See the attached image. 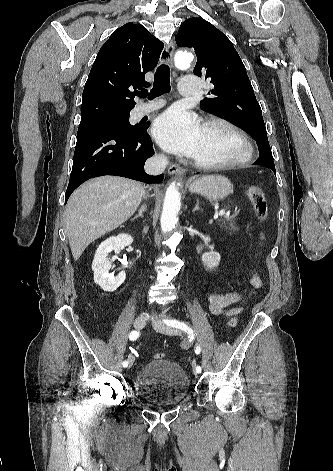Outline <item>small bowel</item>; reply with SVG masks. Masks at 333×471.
Instances as JSON below:
<instances>
[{
  "label": "small bowel",
  "mask_w": 333,
  "mask_h": 471,
  "mask_svg": "<svg viewBox=\"0 0 333 471\" xmlns=\"http://www.w3.org/2000/svg\"><path fill=\"white\" fill-rule=\"evenodd\" d=\"M250 284L254 288H260L263 282L259 275L254 274L250 278ZM244 300V295L241 292L232 291L227 293H209L207 296V303L209 311L214 315H224L227 317L235 316L241 313L242 308L236 304Z\"/></svg>",
  "instance_id": "small-bowel-1"
}]
</instances>
